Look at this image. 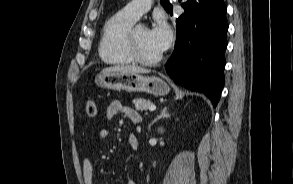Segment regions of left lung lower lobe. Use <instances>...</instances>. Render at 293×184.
I'll return each instance as SVG.
<instances>
[{
    "instance_id": "left-lung-lower-lobe-1",
    "label": "left lung lower lobe",
    "mask_w": 293,
    "mask_h": 184,
    "mask_svg": "<svg viewBox=\"0 0 293 184\" xmlns=\"http://www.w3.org/2000/svg\"><path fill=\"white\" fill-rule=\"evenodd\" d=\"M182 7L166 71L178 84L203 92L216 107L224 86L227 7L223 0H188Z\"/></svg>"
}]
</instances>
